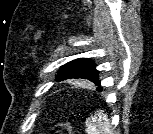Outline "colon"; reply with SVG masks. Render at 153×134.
<instances>
[{
    "label": "colon",
    "instance_id": "5ec220e1",
    "mask_svg": "<svg viewBox=\"0 0 153 134\" xmlns=\"http://www.w3.org/2000/svg\"><path fill=\"white\" fill-rule=\"evenodd\" d=\"M52 134H71L70 127L67 124H58L53 128Z\"/></svg>",
    "mask_w": 153,
    "mask_h": 134
}]
</instances>
